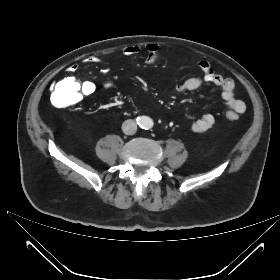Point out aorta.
Returning <instances> with one entry per match:
<instances>
[{
	"label": "aorta",
	"instance_id": "1",
	"mask_svg": "<svg viewBox=\"0 0 280 280\" xmlns=\"http://www.w3.org/2000/svg\"><path fill=\"white\" fill-rule=\"evenodd\" d=\"M140 125L144 129L151 128L153 126V120L149 117H141L140 118Z\"/></svg>",
	"mask_w": 280,
	"mask_h": 280
}]
</instances>
